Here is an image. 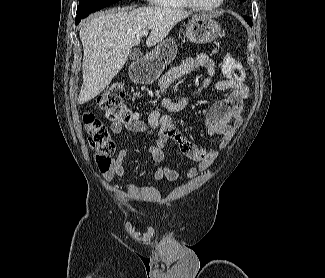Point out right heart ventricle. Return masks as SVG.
I'll return each instance as SVG.
<instances>
[{"mask_svg": "<svg viewBox=\"0 0 325 278\" xmlns=\"http://www.w3.org/2000/svg\"><path fill=\"white\" fill-rule=\"evenodd\" d=\"M151 2L163 8L186 9L191 7L186 0H151Z\"/></svg>", "mask_w": 325, "mask_h": 278, "instance_id": "e07e8e85", "label": "right heart ventricle"}]
</instances>
